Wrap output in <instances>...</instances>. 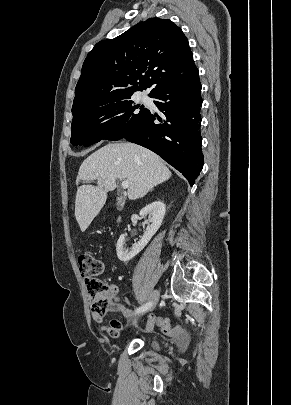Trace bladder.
I'll list each match as a JSON object with an SVG mask.
<instances>
[{"label": "bladder", "instance_id": "1", "mask_svg": "<svg viewBox=\"0 0 291 405\" xmlns=\"http://www.w3.org/2000/svg\"><path fill=\"white\" fill-rule=\"evenodd\" d=\"M149 347H151L153 350H158L159 349V343L156 340H150L148 342Z\"/></svg>", "mask_w": 291, "mask_h": 405}]
</instances>
